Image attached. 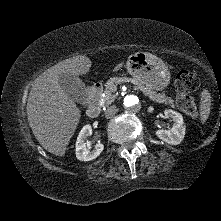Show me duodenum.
<instances>
[{"label": "duodenum", "mask_w": 221, "mask_h": 221, "mask_svg": "<svg viewBox=\"0 0 221 221\" xmlns=\"http://www.w3.org/2000/svg\"><path fill=\"white\" fill-rule=\"evenodd\" d=\"M103 91L101 83H95L88 90V108L86 114L89 118H96L100 113V99Z\"/></svg>", "instance_id": "1"}]
</instances>
